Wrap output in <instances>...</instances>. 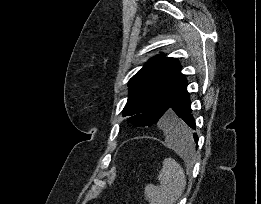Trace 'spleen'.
I'll return each mask as SVG.
<instances>
[{
    "mask_svg": "<svg viewBox=\"0 0 261 204\" xmlns=\"http://www.w3.org/2000/svg\"><path fill=\"white\" fill-rule=\"evenodd\" d=\"M167 142L179 153L185 154L194 151L192 139H189L185 145V142L177 141L167 135ZM158 180L160 185L148 184L145 187V198L150 204H175L186 186V176L180 164L172 158L164 159Z\"/></svg>",
    "mask_w": 261,
    "mask_h": 204,
    "instance_id": "spleen-1",
    "label": "spleen"
}]
</instances>
